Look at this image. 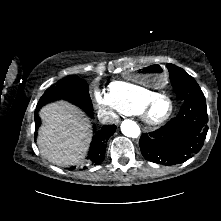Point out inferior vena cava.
Wrapping results in <instances>:
<instances>
[{
    "label": "inferior vena cava",
    "mask_w": 221,
    "mask_h": 221,
    "mask_svg": "<svg viewBox=\"0 0 221 221\" xmlns=\"http://www.w3.org/2000/svg\"><path fill=\"white\" fill-rule=\"evenodd\" d=\"M97 116L102 124H111L115 121V114L112 111L99 110Z\"/></svg>",
    "instance_id": "1"
}]
</instances>
